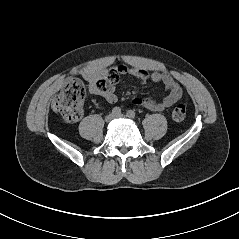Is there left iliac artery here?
<instances>
[{"instance_id": "1", "label": "left iliac artery", "mask_w": 239, "mask_h": 239, "mask_svg": "<svg viewBox=\"0 0 239 239\" xmlns=\"http://www.w3.org/2000/svg\"><path fill=\"white\" fill-rule=\"evenodd\" d=\"M127 116L129 118H135V112L133 110H128L127 111Z\"/></svg>"}]
</instances>
